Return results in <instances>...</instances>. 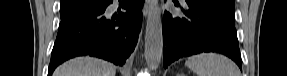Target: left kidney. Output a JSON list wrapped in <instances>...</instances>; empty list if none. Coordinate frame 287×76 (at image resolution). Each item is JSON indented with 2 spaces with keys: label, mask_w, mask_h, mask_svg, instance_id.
I'll list each match as a JSON object with an SVG mask.
<instances>
[{
  "label": "left kidney",
  "mask_w": 287,
  "mask_h": 76,
  "mask_svg": "<svg viewBox=\"0 0 287 76\" xmlns=\"http://www.w3.org/2000/svg\"><path fill=\"white\" fill-rule=\"evenodd\" d=\"M179 76H184L183 74H179Z\"/></svg>",
  "instance_id": "left-kidney-1"
}]
</instances>
